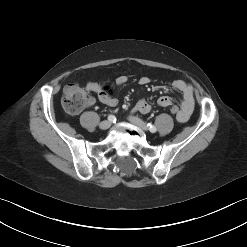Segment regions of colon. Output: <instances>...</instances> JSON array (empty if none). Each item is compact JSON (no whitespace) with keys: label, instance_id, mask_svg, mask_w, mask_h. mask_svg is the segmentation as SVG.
I'll return each instance as SVG.
<instances>
[{"label":"colon","instance_id":"colon-1","mask_svg":"<svg viewBox=\"0 0 247 247\" xmlns=\"http://www.w3.org/2000/svg\"><path fill=\"white\" fill-rule=\"evenodd\" d=\"M88 94L86 90L78 84H70L64 89L62 105L66 112L76 114L80 112L87 104ZM180 112L178 106H171L170 113L176 118Z\"/></svg>","mask_w":247,"mask_h":247}]
</instances>
